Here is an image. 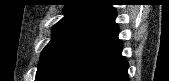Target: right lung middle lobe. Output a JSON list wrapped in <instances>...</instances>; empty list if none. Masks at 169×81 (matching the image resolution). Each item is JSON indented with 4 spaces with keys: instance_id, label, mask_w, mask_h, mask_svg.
I'll use <instances>...</instances> for the list:
<instances>
[{
    "instance_id": "dd1d6c3e",
    "label": "right lung middle lobe",
    "mask_w": 169,
    "mask_h": 81,
    "mask_svg": "<svg viewBox=\"0 0 169 81\" xmlns=\"http://www.w3.org/2000/svg\"><path fill=\"white\" fill-rule=\"evenodd\" d=\"M86 22L82 19H62L53 28L52 39L43 49L38 69L50 58V56L58 49L67 38Z\"/></svg>"
}]
</instances>
